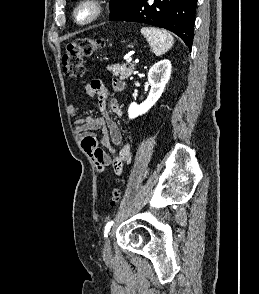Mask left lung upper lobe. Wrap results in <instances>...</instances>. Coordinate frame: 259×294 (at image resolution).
<instances>
[{
	"instance_id": "1",
	"label": "left lung upper lobe",
	"mask_w": 259,
	"mask_h": 294,
	"mask_svg": "<svg viewBox=\"0 0 259 294\" xmlns=\"http://www.w3.org/2000/svg\"><path fill=\"white\" fill-rule=\"evenodd\" d=\"M135 2L136 0H111L110 1V9H111L110 18L126 10L127 8L132 6Z\"/></svg>"
}]
</instances>
